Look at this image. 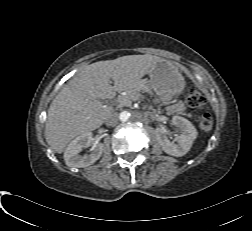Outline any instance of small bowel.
<instances>
[{
    "label": "small bowel",
    "instance_id": "small-bowel-1",
    "mask_svg": "<svg viewBox=\"0 0 252 231\" xmlns=\"http://www.w3.org/2000/svg\"><path fill=\"white\" fill-rule=\"evenodd\" d=\"M171 109L175 112H181L183 110V106L181 103H177L171 107Z\"/></svg>",
    "mask_w": 252,
    "mask_h": 231
}]
</instances>
